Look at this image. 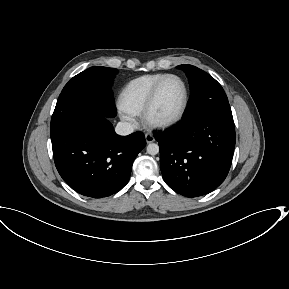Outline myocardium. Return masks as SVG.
<instances>
[{
  "label": "myocardium",
  "mask_w": 289,
  "mask_h": 289,
  "mask_svg": "<svg viewBox=\"0 0 289 289\" xmlns=\"http://www.w3.org/2000/svg\"><path fill=\"white\" fill-rule=\"evenodd\" d=\"M173 78L179 80L184 87V101H183L182 107L180 111L172 118L165 119V120L156 119L153 116V110H154L159 92L162 86L164 85V83L168 81L169 79H173ZM189 100H190V91H189L188 84L184 80V78L176 74H167L165 77L159 80L156 83V85L153 87L147 99V102L144 106V109L142 111L143 121L150 128L165 129V128L172 127L183 119L187 111L188 105H189Z\"/></svg>",
  "instance_id": "myocardium-1"
}]
</instances>
